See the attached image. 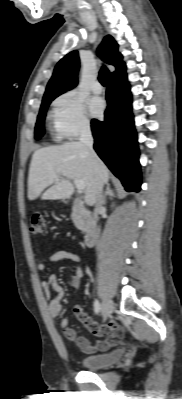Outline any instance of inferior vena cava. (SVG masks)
<instances>
[{
  "instance_id": "inferior-vena-cava-1",
  "label": "inferior vena cava",
  "mask_w": 182,
  "mask_h": 399,
  "mask_svg": "<svg viewBox=\"0 0 182 399\" xmlns=\"http://www.w3.org/2000/svg\"><path fill=\"white\" fill-rule=\"evenodd\" d=\"M79 141L81 144H83L90 155L93 158H97V155L95 154L93 150V137L90 129V124L89 122H84L81 127H80V136H79ZM96 196H97V201H96V207H95V214H97L98 210L101 208L103 204V182L100 178L97 180V185H96ZM97 219V216H96Z\"/></svg>"
}]
</instances>
